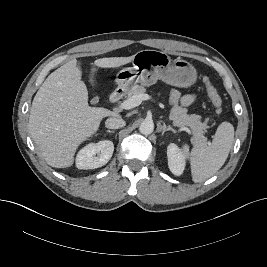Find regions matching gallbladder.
Masks as SVG:
<instances>
[{
	"label": "gallbladder",
	"mask_w": 267,
	"mask_h": 267,
	"mask_svg": "<svg viewBox=\"0 0 267 267\" xmlns=\"http://www.w3.org/2000/svg\"><path fill=\"white\" fill-rule=\"evenodd\" d=\"M94 71H95V69L92 68V72H91L90 79H89V81H90L91 84H94Z\"/></svg>",
	"instance_id": "bac80fb5"
}]
</instances>
